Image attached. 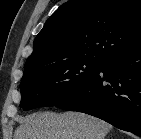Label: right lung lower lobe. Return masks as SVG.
<instances>
[{
	"label": "right lung lower lobe",
	"instance_id": "obj_1",
	"mask_svg": "<svg viewBox=\"0 0 141 139\" xmlns=\"http://www.w3.org/2000/svg\"><path fill=\"white\" fill-rule=\"evenodd\" d=\"M55 106L141 137V42L109 55L89 82Z\"/></svg>",
	"mask_w": 141,
	"mask_h": 139
}]
</instances>
